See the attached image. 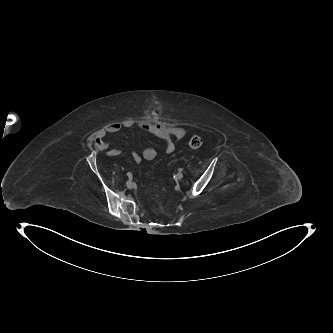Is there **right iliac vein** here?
<instances>
[{
    "label": "right iliac vein",
    "instance_id": "1",
    "mask_svg": "<svg viewBox=\"0 0 333 333\" xmlns=\"http://www.w3.org/2000/svg\"><path fill=\"white\" fill-rule=\"evenodd\" d=\"M126 186L131 189L134 186V182L129 180L126 182Z\"/></svg>",
    "mask_w": 333,
    "mask_h": 333
}]
</instances>
